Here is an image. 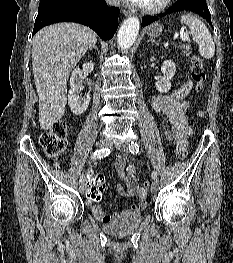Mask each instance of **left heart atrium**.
<instances>
[{
  "mask_svg": "<svg viewBox=\"0 0 233 263\" xmlns=\"http://www.w3.org/2000/svg\"><path fill=\"white\" fill-rule=\"evenodd\" d=\"M130 3L140 4L142 0H127Z\"/></svg>",
  "mask_w": 233,
  "mask_h": 263,
  "instance_id": "obj_1",
  "label": "left heart atrium"
}]
</instances>
